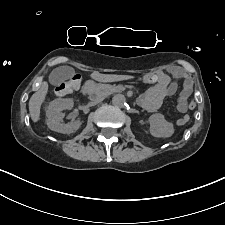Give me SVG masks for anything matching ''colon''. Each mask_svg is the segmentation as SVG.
<instances>
[{
    "label": "colon",
    "mask_w": 225,
    "mask_h": 225,
    "mask_svg": "<svg viewBox=\"0 0 225 225\" xmlns=\"http://www.w3.org/2000/svg\"><path fill=\"white\" fill-rule=\"evenodd\" d=\"M140 80L143 83H147V84H154L157 82V76L155 74H147L144 75L140 78ZM81 83V79L78 75L73 76L69 81L65 82V83H61L58 87H57V93L59 95H67L69 93H71L72 91L76 90L79 85ZM196 106L194 100H191L188 104H187V108L188 109H194ZM188 122V120L186 118L181 119V125H184Z\"/></svg>",
    "instance_id": "colon-1"
}]
</instances>
